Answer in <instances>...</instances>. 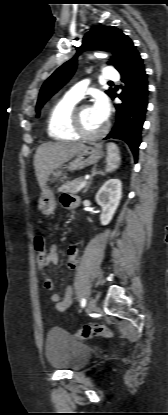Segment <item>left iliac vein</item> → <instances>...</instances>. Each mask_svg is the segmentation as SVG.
Masks as SVG:
<instances>
[{"label": "left iliac vein", "instance_id": "1", "mask_svg": "<svg viewBox=\"0 0 168 415\" xmlns=\"http://www.w3.org/2000/svg\"><path fill=\"white\" fill-rule=\"evenodd\" d=\"M87 308L89 312H93L96 308V300L91 298L88 302Z\"/></svg>", "mask_w": 168, "mask_h": 415}]
</instances>
